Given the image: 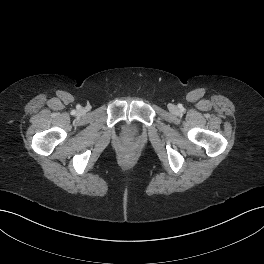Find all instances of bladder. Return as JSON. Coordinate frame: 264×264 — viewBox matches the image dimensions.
<instances>
[{
  "mask_svg": "<svg viewBox=\"0 0 264 264\" xmlns=\"http://www.w3.org/2000/svg\"><path fill=\"white\" fill-rule=\"evenodd\" d=\"M124 132L127 135L132 136V135L136 134L137 126L134 123H125L124 124Z\"/></svg>",
  "mask_w": 264,
  "mask_h": 264,
  "instance_id": "1",
  "label": "bladder"
}]
</instances>
